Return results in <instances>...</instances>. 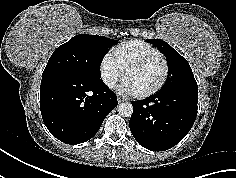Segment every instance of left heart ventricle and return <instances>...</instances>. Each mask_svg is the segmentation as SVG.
I'll return each mask as SVG.
<instances>
[{
  "label": "left heart ventricle",
  "mask_w": 236,
  "mask_h": 178,
  "mask_svg": "<svg viewBox=\"0 0 236 178\" xmlns=\"http://www.w3.org/2000/svg\"><path fill=\"white\" fill-rule=\"evenodd\" d=\"M164 65L161 60L152 61L144 66L130 70L125 76L136 93L145 92L155 87L162 78Z\"/></svg>",
  "instance_id": "left-heart-ventricle-1"
}]
</instances>
